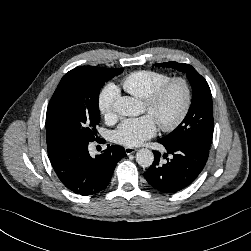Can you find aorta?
<instances>
[{
	"label": "aorta",
	"mask_w": 251,
	"mask_h": 251,
	"mask_svg": "<svg viewBox=\"0 0 251 251\" xmlns=\"http://www.w3.org/2000/svg\"><path fill=\"white\" fill-rule=\"evenodd\" d=\"M114 111L123 116H135L140 112V103L129 96L119 97L113 105ZM136 161L141 167H150L154 161V155L149 149H140L136 153Z\"/></svg>",
	"instance_id": "obj_1"
}]
</instances>
